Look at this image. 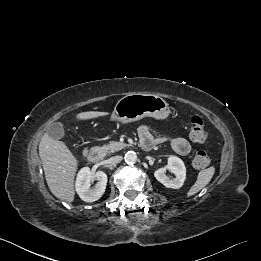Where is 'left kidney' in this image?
<instances>
[{"label": "left kidney", "instance_id": "5707ae66", "mask_svg": "<svg viewBox=\"0 0 261 261\" xmlns=\"http://www.w3.org/2000/svg\"><path fill=\"white\" fill-rule=\"evenodd\" d=\"M169 170L175 175V178L170 179L165 173ZM155 178L167 188L179 189L182 187L186 178V167L183 161L176 157L170 156L168 158V165L160 168L154 173Z\"/></svg>", "mask_w": 261, "mask_h": 261}]
</instances>
